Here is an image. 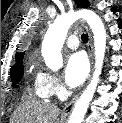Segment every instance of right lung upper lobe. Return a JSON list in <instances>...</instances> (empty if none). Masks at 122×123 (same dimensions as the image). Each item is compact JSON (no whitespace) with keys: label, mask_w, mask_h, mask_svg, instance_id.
I'll return each mask as SVG.
<instances>
[{"label":"right lung upper lobe","mask_w":122,"mask_h":123,"mask_svg":"<svg viewBox=\"0 0 122 123\" xmlns=\"http://www.w3.org/2000/svg\"><path fill=\"white\" fill-rule=\"evenodd\" d=\"M23 57H24V52H16V55H15L16 64L12 68L23 64Z\"/></svg>","instance_id":"cb5924a9"}]
</instances>
